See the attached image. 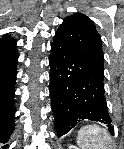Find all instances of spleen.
Returning a JSON list of instances; mask_svg holds the SVG:
<instances>
[{"label": "spleen", "instance_id": "obj_1", "mask_svg": "<svg viewBox=\"0 0 124 149\" xmlns=\"http://www.w3.org/2000/svg\"><path fill=\"white\" fill-rule=\"evenodd\" d=\"M110 137L106 131L96 125H89L80 129L77 143L81 149H108Z\"/></svg>", "mask_w": 124, "mask_h": 149}]
</instances>
